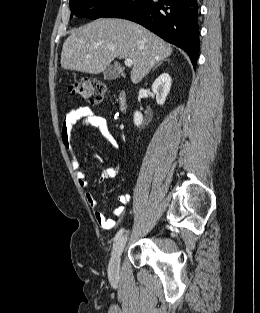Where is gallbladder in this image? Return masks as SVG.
<instances>
[{"instance_id":"gallbladder-1","label":"gallbladder","mask_w":260,"mask_h":313,"mask_svg":"<svg viewBox=\"0 0 260 313\" xmlns=\"http://www.w3.org/2000/svg\"><path fill=\"white\" fill-rule=\"evenodd\" d=\"M103 76H104V79L105 80H108V81H113L115 79L118 78L119 76V71L117 69V67L114 65V66H108L104 72H103Z\"/></svg>"}]
</instances>
